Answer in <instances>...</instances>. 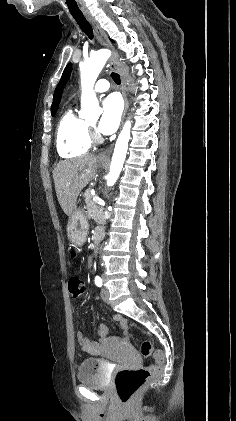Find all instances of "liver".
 Segmentation results:
<instances>
[{"instance_id":"liver-1","label":"liver","mask_w":236,"mask_h":421,"mask_svg":"<svg viewBox=\"0 0 236 421\" xmlns=\"http://www.w3.org/2000/svg\"><path fill=\"white\" fill-rule=\"evenodd\" d=\"M97 168V158L92 154L74 160H60L53 170L55 190L65 215L70 217L76 206L77 196L92 180Z\"/></svg>"}]
</instances>
